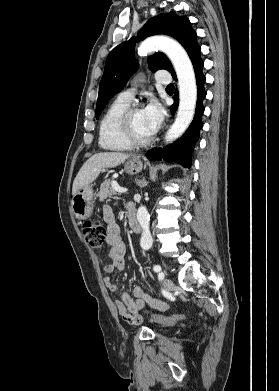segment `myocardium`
<instances>
[{
    "label": "myocardium",
    "mask_w": 279,
    "mask_h": 391,
    "mask_svg": "<svg viewBox=\"0 0 279 391\" xmlns=\"http://www.w3.org/2000/svg\"><path fill=\"white\" fill-rule=\"evenodd\" d=\"M140 109H142V106L139 103H132L125 109L120 118V127L123 137L132 147L146 146L153 141L155 136L154 132L146 138H140L136 135L133 128L132 117L133 114Z\"/></svg>",
    "instance_id": "obj_1"
}]
</instances>
